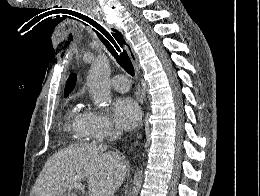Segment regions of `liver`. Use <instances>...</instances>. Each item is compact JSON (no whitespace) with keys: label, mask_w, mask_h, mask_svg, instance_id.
I'll use <instances>...</instances> for the list:
<instances>
[{"label":"liver","mask_w":260,"mask_h":196,"mask_svg":"<svg viewBox=\"0 0 260 196\" xmlns=\"http://www.w3.org/2000/svg\"><path fill=\"white\" fill-rule=\"evenodd\" d=\"M103 152L94 144H73L56 152L42 168L30 196H63L61 190L82 180L88 184V196H114L127 176V164L116 152Z\"/></svg>","instance_id":"liver-1"}]
</instances>
